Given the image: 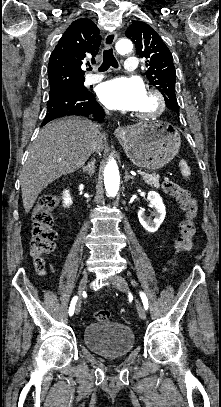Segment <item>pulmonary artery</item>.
<instances>
[{"instance_id": "pulmonary-artery-1", "label": "pulmonary artery", "mask_w": 221, "mask_h": 407, "mask_svg": "<svg viewBox=\"0 0 221 407\" xmlns=\"http://www.w3.org/2000/svg\"><path fill=\"white\" fill-rule=\"evenodd\" d=\"M125 73L132 74L137 70V63L134 57H127L124 61ZM104 77L101 75H91L87 78V83L93 84L101 81Z\"/></svg>"}]
</instances>
